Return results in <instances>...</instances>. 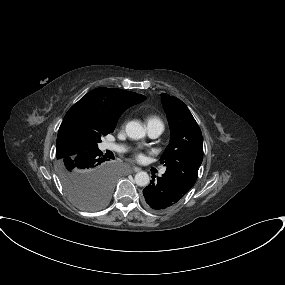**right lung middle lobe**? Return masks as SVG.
<instances>
[{"instance_id":"dd1d6c3e","label":"right lung middle lobe","mask_w":285,"mask_h":285,"mask_svg":"<svg viewBox=\"0 0 285 285\" xmlns=\"http://www.w3.org/2000/svg\"><path fill=\"white\" fill-rule=\"evenodd\" d=\"M107 134L109 133L93 136L88 150H98L97 144L101 142V136ZM56 156L60 181L69 198L77 206L86 210H97L108 203L115 176L107 166V172H90L77 164L76 155L70 157L62 152Z\"/></svg>"}]
</instances>
